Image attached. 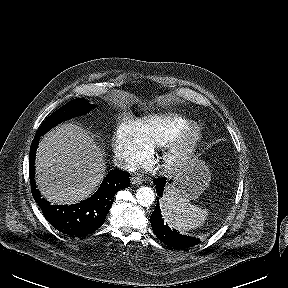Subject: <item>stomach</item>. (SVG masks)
<instances>
[{
  "mask_svg": "<svg viewBox=\"0 0 288 288\" xmlns=\"http://www.w3.org/2000/svg\"><path fill=\"white\" fill-rule=\"evenodd\" d=\"M211 173L203 160L194 159L176 173L166 191L188 201L196 200L209 187Z\"/></svg>",
  "mask_w": 288,
  "mask_h": 288,
  "instance_id": "obj_1",
  "label": "stomach"
}]
</instances>
